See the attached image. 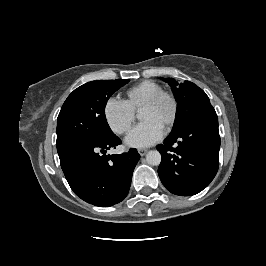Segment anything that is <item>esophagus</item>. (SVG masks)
Masks as SVG:
<instances>
[{"mask_svg": "<svg viewBox=\"0 0 266 266\" xmlns=\"http://www.w3.org/2000/svg\"><path fill=\"white\" fill-rule=\"evenodd\" d=\"M147 152H148V149H145V148H140V149H138V153H139L141 156H144Z\"/></svg>", "mask_w": 266, "mask_h": 266, "instance_id": "34e87169", "label": "esophagus"}]
</instances>
